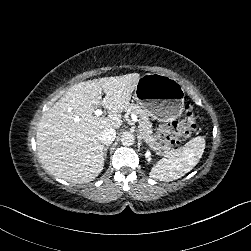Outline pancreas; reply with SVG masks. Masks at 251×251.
I'll use <instances>...</instances> for the list:
<instances>
[{
  "label": "pancreas",
  "instance_id": "1",
  "mask_svg": "<svg viewBox=\"0 0 251 251\" xmlns=\"http://www.w3.org/2000/svg\"><path fill=\"white\" fill-rule=\"evenodd\" d=\"M125 111H129L131 114H134L138 118L139 122V132L142 135L144 141L154 150H158L159 154H164L163 151H168L167 146H163L160 142L157 141L156 135L153 133L152 130V123L149 120L147 112L142 109L138 104L131 103L127 106Z\"/></svg>",
  "mask_w": 251,
  "mask_h": 251
}]
</instances>
